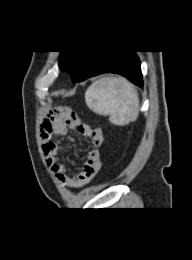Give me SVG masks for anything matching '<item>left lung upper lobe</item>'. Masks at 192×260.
<instances>
[{
	"instance_id": "obj_1",
	"label": "left lung upper lobe",
	"mask_w": 192,
	"mask_h": 260,
	"mask_svg": "<svg viewBox=\"0 0 192 260\" xmlns=\"http://www.w3.org/2000/svg\"><path fill=\"white\" fill-rule=\"evenodd\" d=\"M98 51H61L59 66L71 73L74 81H80L92 58Z\"/></svg>"
}]
</instances>
